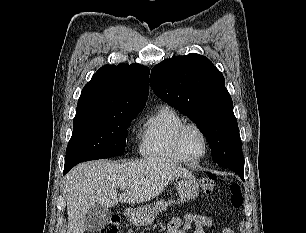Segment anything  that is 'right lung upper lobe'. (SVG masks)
<instances>
[{
  "mask_svg": "<svg viewBox=\"0 0 306 233\" xmlns=\"http://www.w3.org/2000/svg\"><path fill=\"white\" fill-rule=\"evenodd\" d=\"M149 69L138 64L105 65L83 88L77 108L141 111L148 98Z\"/></svg>",
  "mask_w": 306,
  "mask_h": 233,
  "instance_id": "1",
  "label": "right lung upper lobe"
}]
</instances>
